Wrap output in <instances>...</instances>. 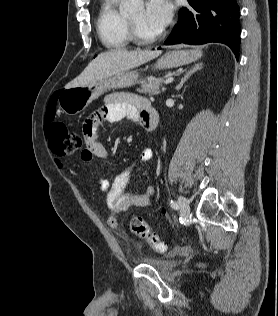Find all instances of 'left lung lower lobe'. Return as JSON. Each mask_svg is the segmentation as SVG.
Masks as SVG:
<instances>
[{
	"label": "left lung lower lobe",
	"mask_w": 278,
	"mask_h": 316,
	"mask_svg": "<svg viewBox=\"0 0 278 316\" xmlns=\"http://www.w3.org/2000/svg\"><path fill=\"white\" fill-rule=\"evenodd\" d=\"M179 12L177 25L166 39V45L219 42L239 56V6L236 0H188ZM160 49V48H158Z\"/></svg>",
	"instance_id": "1"
}]
</instances>
